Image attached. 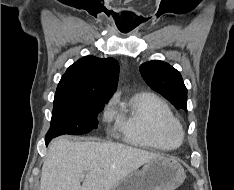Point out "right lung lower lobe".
<instances>
[{"label": "right lung lower lobe", "instance_id": "right-lung-lower-lobe-1", "mask_svg": "<svg viewBox=\"0 0 234 190\" xmlns=\"http://www.w3.org/2000/svg\"><path fill=\"white\" fill-rule=\"evenodd\" d=\"M50 142V139H45V144L48 145V143Z\"/></svg>", "mask_w": 234, "mask_h": 190}]
</instances>
